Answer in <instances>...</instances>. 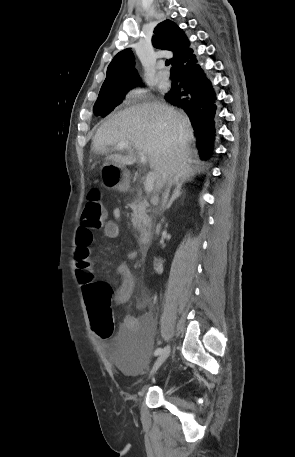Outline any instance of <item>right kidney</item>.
I'll return each instance as SVG.
<instances>
[{
    "label": "right kidney",
    "mask_w": 295,
    "mask_h": 457,
    "mask_svg": "<svg viewBox=\"0 0 295 457\" xmlns=\"http://www.w3.org/2000/svg\"><path fill=\"white\" fill-rule=\"evenodd\" d=\"M154 269L158 273H162L163 272V266H162V261L161 260H159V262L154 264Z\"/></svg>",
    "instance_id": "obj_1"
}]
</instances>
